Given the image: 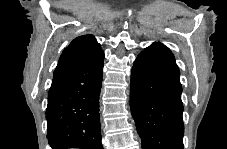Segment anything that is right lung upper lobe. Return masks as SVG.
I'll return each instance as SVG.
<instances>
[{
    "label": "right lung upper lobe",
    "instance_id": "cb5924a9",
    "mask_svg": "<svg viewBox=\"0 0 227 149\" xmlns=\"http://www.w3.org/2000/svg\"><path fill=\"white\" fill-rule=\"evenodd\" d=\"M103 57L104 52L93 35L87 34L79 36L64 49L53 76L78 67L93 64Z\"/></svg>",
    "mask_w": 227,
    "mask_h": 149
}]
</instances>
